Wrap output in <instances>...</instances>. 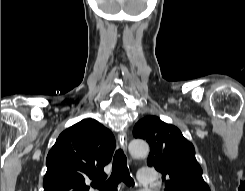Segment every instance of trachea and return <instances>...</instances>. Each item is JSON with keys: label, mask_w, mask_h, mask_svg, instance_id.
<instances>
[{"label": "trachea", "mask_w": 245, "mask_h": 191, "mask_svg": "<svg viewBox=\"0 0 245 191\" xmlns=\"http://www.w3.org/2000/svg\"><path fill=\"white\" fill-rule=\"evenodd\" d=\"M123 181L125 184L134 185L127 167V158L121 149L115 152L112 165V173L107 181L99 183L96 188L99 191H117L118 184Z\"/></svg>", "instance_id": "obj_1"}]
</instances>
